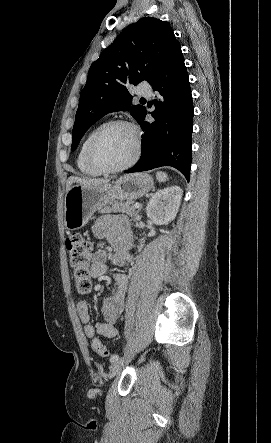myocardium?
Here are the masks:
<instances>
[{
    "instance_id": "myocardium-1",
    "label": "myocardium",
    "mask_w": 271,
    "mask_h": 443,
    "mask_svg": "<svg viewBox=\"0 0 271 443\" xmlns=\"http://www.w3.org/2000/svg\"><path fill=\"white\" fill-rule=\"evenodd\" d=\"M117 126H122V127H126L130 130L133 139H134V151L133 154L131 155V157L122 165L117 166V167H108L103 165L102 163H100L94 154V149L95 146L97 144V142L100 140V138L111 128L113 127H117ZM142 152V141H141V137H140V133L137 129V127L126 121V120H121V119H116V120H110L106 123H104L92 136V138L90 139L87 148H86V160L89 163V165L91 167H93L94 169H96L97 171H99L100 173H118L121 171H124L126 169H128L129 167H131L140 157Z\"/></svg>"
}]
</instances>
